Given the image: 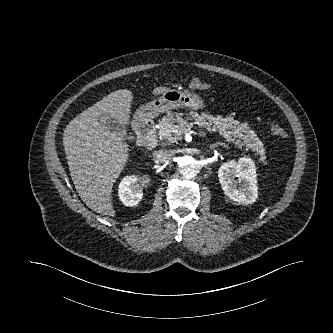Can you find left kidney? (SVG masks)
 <instances>
[{"label":"left kidney","instance_id":"obj_1","mask_svg":"<svg viewBox=\"0 0 333 333\" xmlns=\"http://www.w3.org/2000/svg\"><path fill=\"white\" fill-rule=\"evenodd\" d=\"M224 194L239 204H252L258 196L255 163L242 157L238 162L229 161L218 170Z\"/></svg>","mask_w":333,"mask_h":333}]
</instances>
